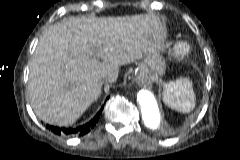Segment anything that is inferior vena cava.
<instances>
[{"instance_id": "inferior-vena-cava-1", "label": "inferior vena cava", "mask_w": 240, "mask_h": 160, "mask_svg": "<svg viewBox=\"0 0 240 160\" xmlns=\"http://www.w3.org/2000/svg\"><path fill=\"white\" fill-rule=\"evenodd\" d=\"M111 80V77H109V76H106V77H103V81L105 82V81H110Z\"/></svg>"}]
</instances>
